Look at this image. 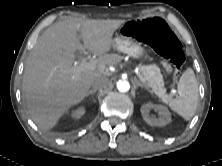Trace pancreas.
<instances>
[{
  "label": "pancreas",
  "mask_w": 222,
  "mask_h": 166,
  "mask_svg": "<svg viewBox=\"0 0 222 166\" xmlns=\"http://www.w3.org/2000/svg\"><path fill=\"white\" fill-rule=\"evenodd\" d=\"M139 69L146 79L145 83L148 88H150V91L160 97L164 102H168L171 96L166 94L160 69L156 65H143L140 66Z\"/></svg>",
  "instance_id": "obj_1"
}]
</instances>
